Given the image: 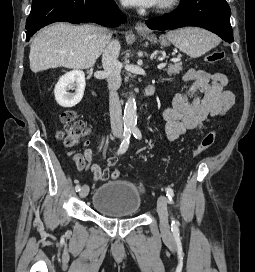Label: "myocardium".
Here are the masks:
<instances>
[{"label":"myocardium","instance_id":"myocardium-1","mask_svg":"<svg viewBox=\"0 0 255 272\" xmlns=\"http://www.w3.org/2000/svg\"><path fill=\"white\" fill-rule=\"evenodd\" d=\"M180 0H160L156 6L157 12H164L174 8Z\"/></svg>","mask_w":255,"mask_h":272}]
</instances>
